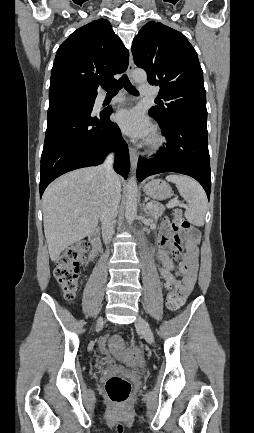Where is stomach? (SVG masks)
Instances as JSON below:
<instances>
[{
  "label": "stomach",
  "mask_w": 254,
  "mask_h": 433,
  "mask_svg": "<svg viewBox=\"0 0 254 433\" xmlns=\"http://www.w3.org/2000/svg\"><path fill=\"white\" fill-rule=\"evenodd\" d=\"M143 189L146 195L156 200H165L172 195L171 187L160 179L148 181Z\"/></svg>",
  "instance_id": "0dacf381"
}]
</instances>
